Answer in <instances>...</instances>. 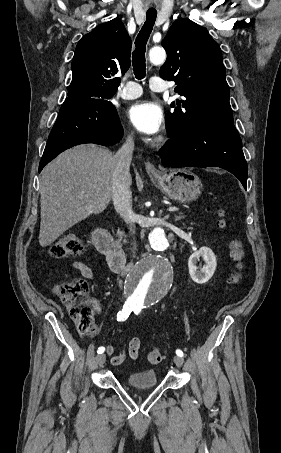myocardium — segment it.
<instances>
[{
    "label": "myocardium",
    "mask_w": 281,
    "mask_h": 453,
    "mask_svg": "<svg viewBox=\"0 0 281 453\" xmlns=\"http://www.w3.org/2000/svg\"><path fill=\"white\" fill-rule=\"evenodd\" d=\"M166 140V137L163 135V136H160L156 139V143H162Z\"/></svg>",
    "instance_id": "obj_1"
}]
</instances>
